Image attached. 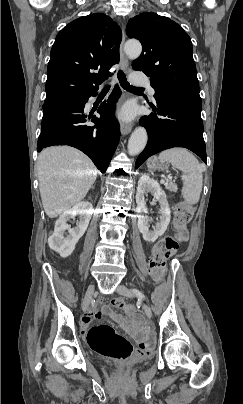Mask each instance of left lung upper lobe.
<instances>
[{
  "instance_id": "left-lung-upper-lobe-1",
  "label": "left lung upper lobe",
  "mask_w": 243,
  "mask_h": 404,
  "mask_svg": "<svg viewBox=\"0 0 243 404\" xmlns=\"http://www.w3.org/2000/svg\"><path fill=\"white\" fill-rule=\"evenodd\" d=\"M126 33L142 44V54L132 68L150 77L155 99L166 95L200 97L192 42L180 25L147 12L130 19Z\"/></svg>"
}]
</instances>
